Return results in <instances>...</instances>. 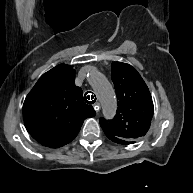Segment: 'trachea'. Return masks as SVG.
<instances>
[{
    "instance_id": "obj_1",
    "label": "trachea",
    "mask_w": 193,
    "mask_h": 193,
    "mask_svg": "<svg viewBox=\"0 0 193 193\" xmlns=\"http://www.w3.org/2000/svg\"><path fill=\"white\" fill-rule=\"evenodd\" d=\"M88 93H92V92H87V93H85V102L86 103H88V104H94V102L96 101V98H94V97H96V96H93V95H87ZM87 95V96H86ZM94 99V100H93ZM90 100V101H89Z\"/></svg>"
}]
</instances>
